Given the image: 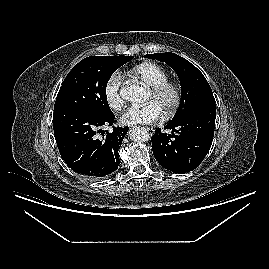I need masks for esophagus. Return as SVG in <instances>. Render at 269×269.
Instances as JSON below:
<instances>
[{"label":"esophagus","instance_id":"1","mask_svg":"<svg viewBox=\"0 0 269 269\" xmlns=\"http://www.w3.org/2000/svg\"><path fill=\"white\" fill-rule=\"evenodd\" d=\"M146 129L150 134H153L155 132V129L152 127H147Z\"/></svg>","mask_w":269,"mask_h":269}]
</instances>
